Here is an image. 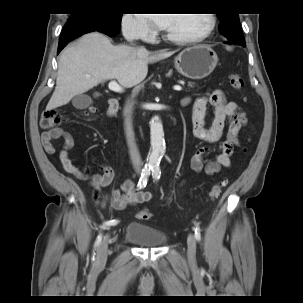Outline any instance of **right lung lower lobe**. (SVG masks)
Returning a JSON list of instances; mask_svg holds the SVG:
<instances>
[{"mask_svg": "<svg viewBox=\"0 0 303 303\" xmlns=\"http://www.w3.org/2000/svg\"><path fill=\"white\" fill-rule=\"evenodd\" d=\"M93 31L102 32L113 37L119 33L120 23L94 18H79L69 21L61 32L57 54H59L70 41Z\"/></svg>", "mask_w": 303, "mask_h": 303, "instance_id": "1", "label": "right lung lower lobe"}]
</instances>
